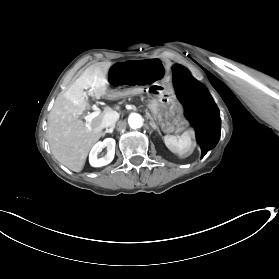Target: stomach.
Returning a JSON list of instances; mask_svg holds the SVG:
<instances>
[{"instance_id":"stomach-1","label":"stomach","mask_w":279,"mask_h":279,"mask_svg":"<svg viewBox=\"0 0 279 279\" xmlns=\"http://www.w3.org/2000/svg\"><path fill=\"white\" fill-rule=\"evenodd\" d=\"M148 109L156 124L165 133L179 131L185 123V115L181 111V106L174 99H166L161 96L153 97L149 101Z\"/></svg>"}]
</instances>
